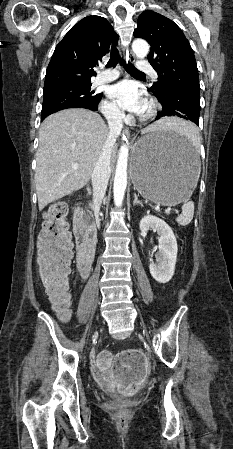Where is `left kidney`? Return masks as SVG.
I'll use <instances>...</instances> for the list:
<instances>
[{"label":"left kidney","instance_id":"1","mask_svg":"<svg viewBox=\"0 0 233 449\" xmlns=\"http://www.w3.org/2000/svg\"><path fill=\"white\" fill-rule=\"evenodd\" d=\"M139 228L141 232L149 229L157 232L159 235V253L157 263L150 260V274L159 283H167L174 275L177 260V241L170 226L162 219L147 215L144 216Z\"/></svg>","mask_w":233,"mask_h":449}]
</instances>
